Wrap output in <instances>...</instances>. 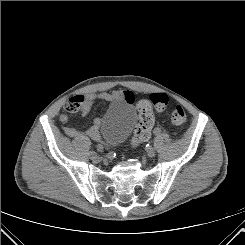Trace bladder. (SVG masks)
<instances>
[{"label":"bladder","instance_id":"31cf9c89","mask_svg":"<svg viewBox=\"0 0 245 245\" xmlns=\"http://www.w3.org/2000/svg\"><path fill=\"white\" fill-rule=\"evenodd\" d=\"M136 122V111L125 101L115 102L107 109L100 121L104 140L112 146L124 142Z\"/></svg>","mask_w":245,"mask_h":245}]
</instances>
